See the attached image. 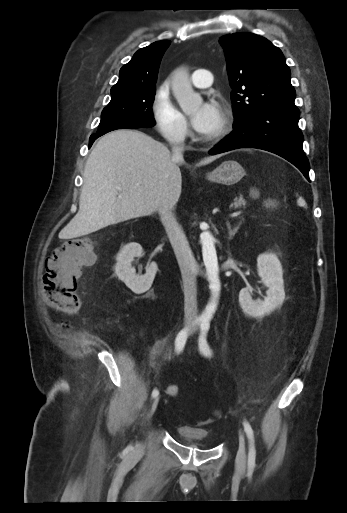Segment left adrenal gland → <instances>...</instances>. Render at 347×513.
I'll return each mask as SVG.
<instances>
[{"label":"left adrenal gland","mask_w":347,"mask_h":513,"mask_svg":"<svg viewBox=\"0 0 347 513\" xmlns=\"http://www.w3.org/2000/svg\"><path fill=\"white\" fill-rule=\"evenodd\" d=\"M241 224H242V221L240 220L238 222V224L232 229L231 225H230V222H228V221L226 222V226H227V229H228V235H229L230 239L234 238V236L237 233V231L239 230Z\"/></svg>","instance_id":"obj_1"}]
</instances>
